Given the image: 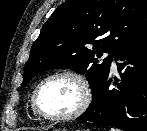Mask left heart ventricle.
Listing matches in <instances>:
<instances>
[{
	"label": "left heart ventricle",
	"instance_id": "left-heart-ventricle-1",
	"mask_svg": "<svg viewBox=\"0 0 147 131\" xmlns=\"http://www.w3.org/2000/svg\"><path fill=\"white\" fill-rule=\"evenodd\" d=\"M82 90L77 81L57 77L46 82L39 91L38 104L49 115H66L81 103Z\"/></svg>",
	"mask_w": 147,
	"mask_h": 131
}]
</instances>
